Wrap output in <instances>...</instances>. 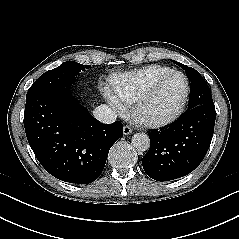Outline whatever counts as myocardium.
<instances>
[{"mask_svg": "<svg viewBox=\"0 0 239 239\" xmlns=\"http://www.w3.org/2000/svg\"><path fill=\"white\" fill-rule=\"evenodd\" d=\"M172 76H180L184 80V93L181 97V100L175 110L168 116L164 118H159V119H153V118H146L142 115V109L150 96L157 90V88L168 78ZM190 94V85L187 76L176 70H171L158 78H156L147 89H145L142 94L138 97V99L134 102V106L132 109V116L134 120L145 127L148 128H162L169 126L176 122L184 113L188 98Z\"/></svg>", "mask_w": 239, "mask_h": 239, "instance_id": "myocardium-1", "label": "myocardium"}]
</instances>
